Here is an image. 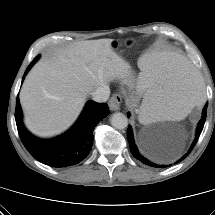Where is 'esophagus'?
<instances>
[{
	"instance_id": "1",
	"label": "esophagus",
	"mask_w": 215,
	"mask_h": 215,
	"mask_svg": "<svg viewBox=\"0 0 215 215\" xmlns=\"http://www.w3.org/2000/svg\"><path fill=\"white\" fill-rule=\"evenodd\" d=\"M121 102H122L121 95L118 93L113 94L109 100V108L112 111H117L120 109Z\"/></svg>"
}]
</instances>
